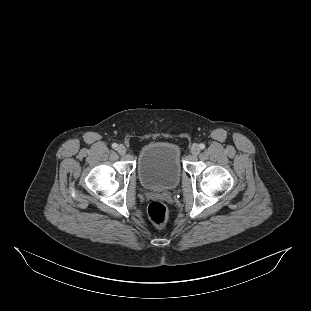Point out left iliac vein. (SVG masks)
<instances>
[{
  "instance_id": "obj_1",
  "label": "left iliac vein",
  "mask_w": 311,
  "mask_h": 311,
  "mask_svg": "<svg viewBox=\"0 0 311 311\" xmlns=\"http://www.w3.org/2000/svg\"><path fill=\"white\" fill-rule=\"evenodd\" d=\"M191 153L195 156L198 155L200 153V147L197 144H193L191 146Z\"/></svg>"
}]
</instances>
